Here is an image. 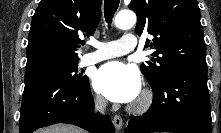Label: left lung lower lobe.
<instances>
[{
  "label": "left lung lower lobe",
  "instance_id": "0a47b994",
  "mask_svg": "<svg viewBox=\"0 0 221 133\" xmlns=\"http://www.w3.org/2000/svg\"><path fill=\"white\" fill-rule=\"evenodd\" d=\"M153 89V104L126 133H212L207 73L177 70Z\"/></svg>",
  "mask_w": 221,
  "mask_h": 133
}]
</instances>
